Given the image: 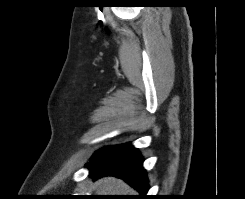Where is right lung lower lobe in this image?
I'll return each mask as SVG.
<instances>
[{
    "label": "right lung lower lobe",
    "mask_w": 245,
    "mask_h": 199,
    "mask_svg": "<svg viewBox=\"0 0 245 199\" xmlns=\"http://www.w3.org/2000/svg\"><path fill=\"white\" fill-rule=\"evenodd\" d=\"M143 158L130 143L108 146L98 150L86 164L89 176L97 179L114 176L123 179L146 198L148 182L142 168Z\"/></svg>",
    "instance_id": "right-lung-lower-lobe-1"
}]
</instances>
